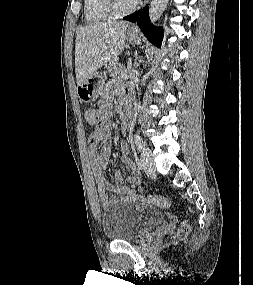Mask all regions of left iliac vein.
<instances>
[{
    "instance_id": "obj_1",
    "label": "left iliac vein",
    "mask_w": 253,
    "mask_h": 285,
    "mask_svg": "<svg viewBox=\"0 0 253 285\" xmlns=\"http://www.w3.org/2000/svg\"><path fill=\"white\" fill-rule=\"evenodd\" d=\"M141 162L144 168V171L147 174H151L155 171V163L152 152L149 148H145L141 154Z\"/></svg>"
}]
</instances>
